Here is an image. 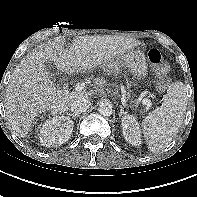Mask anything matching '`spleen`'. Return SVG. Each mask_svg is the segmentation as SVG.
<instances>
[{
    "label": "spleen",
    "mask_w": 197,
    "mask_h": 197,
    "mask_svg": "<svg viewBox=\"0 0 197 197\" xmlns=\"http://www.w3.org/2000/svg\"><path fill=\"white\" fill-rule=\"evenodd\" d=\"M186 106L185 85L182 82L172 83L162 105L141 122L144 139L151 152L164 149L173 140L183 124Z\"/></svg>",
    "instance_id": "3e777b00"
}]
</instances>
